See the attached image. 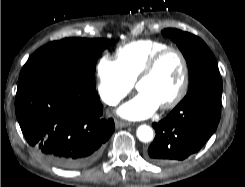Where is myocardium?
Here are the masks:
<instances>
[{
  "mask_svg": "<svg viewBox=\"0 0 245 187\" xmlns=\"http://www.w3.org/2000/svg\"><path fill=\"white\" fill-rule=\"evenodd\" d=\"M168 53H175L179 57L180 62L182 64V79L180 86L177 92L174 94V96L170 98L166 103L159 106V108L162 110L174 108L182 101V99L185 97L187 93L189 87V65L184 53L179 48L172 46H168L164 49L157 51L149 58V60L143 66L135 81V87L137 89L138 85L153 73L159 61Z\"/></svg>",
  "mask_w": 245,
  "mask_h": 187,
  "instance_id": "obj_1",
  "label": "myocardium"
}]
</instances>
